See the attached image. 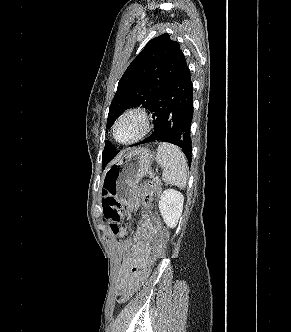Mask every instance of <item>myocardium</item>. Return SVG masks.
Wrapping results in <instances>:
<instances>
[{"label":"myocardium","mask_w":291,"mask_h":332,"mask_svg":"<svg viewBox=\"0 0 291 332\" xmlns=\"http://www.w3.org/2000/svg\"><path fill=\"white\" fill-rule=\"evenodd\" d=\"M128 116H136L141 120V130L134 138L127 140V141H121L117 138V128L119 124L122 122L123 119H125ZM152 128V118L149 112L143 108V107H132L126 109L116 120L114 126H113V137L116 142L124 145L134 144L140 140H142L150 131Z\"/></svg>","instance_id":"1"}]
</instances>
